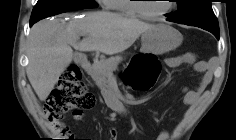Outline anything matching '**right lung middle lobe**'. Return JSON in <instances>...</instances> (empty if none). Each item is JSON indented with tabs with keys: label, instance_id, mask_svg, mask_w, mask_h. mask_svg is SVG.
<instances>
[{
	"label": "right lung middle lobe",
	"instance_id": "dd1d6c3e",
	"mask_svg": "<svg viewBox=\"0 0 236 140\" xmlns=\"http://www.w3.org/2000/svg\"><path fill=\"white\" fill-rule=\"evenodd\" d=\"M97 6L94 0H38L33 8L30 22L35 23L56 14Z\"/></svg>",
	"mask_w": 236,
	"mask_h": 140
}]
</instances>
